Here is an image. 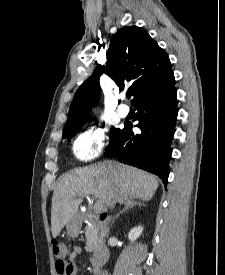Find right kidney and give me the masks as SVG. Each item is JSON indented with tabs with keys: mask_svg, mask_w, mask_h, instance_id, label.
Instances as JSON below:
<instances>
[{
	"mask_svg": "<svg viewBox=\"0 0 225 275\" xmlns=\"http://www.w3.org/2000/svg\"><path fill=\"white\" fill-rule=\"evenodd\" d=\"M143 228L141 226L133 228L128 233V238L131 242L135 241L141 234H142Z\"/></svg>",
	"mask_w": 225,
	"mask_h": 275,
	"instance_id": "obj_1",
	"label": "right kidney"
}]
</instances>
